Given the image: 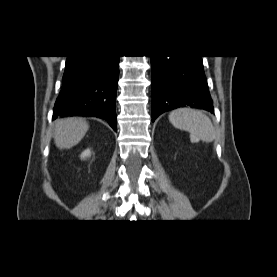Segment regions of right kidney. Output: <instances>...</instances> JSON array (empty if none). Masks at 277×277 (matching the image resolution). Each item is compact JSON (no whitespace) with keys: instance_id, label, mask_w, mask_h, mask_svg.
<instances>
[{"instance_id":"obj_1","label":"right kidney","mask_w":277,"mask_h":277,"mask_svg":"<svg viewBox=\"0 0 277 277\" xmlns=\"http://www.w3.org/2000/svg\"><path fill=\"white\" fill-rule=\"evenodd\" d=\"M90 154H91L90 150L87 149V150H85V151L82 152V154H81L80 157H81V159H86L87 157L90 156Z\"/></svg>"}]
</instances>
